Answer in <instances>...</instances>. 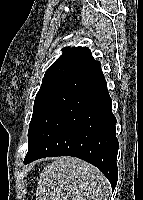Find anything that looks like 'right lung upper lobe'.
<instances>
[{"label":"right lung upper lobe","mask_w":143,"mask_h":200,"mask_svg":"<svg viewBox=\"0 0 143 200\" xmlns=\"http://www.w3.org/2000/svg\"><path fill=\"white\" fill-rule=\"evenodd\" d=\"M63 54L49 67L43 79L63 78L95 63L87 47H65Z\"/></svg>","instance_id":"obj_1"}]
</instances>
